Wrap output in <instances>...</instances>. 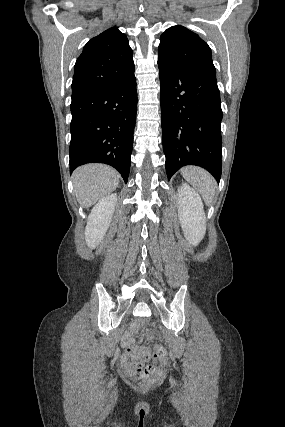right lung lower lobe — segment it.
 I'll return each instance as SVG.
<instances>
[{
	"mask_svg": "<svg viewBox=\"0 0 285 427\" xmlns=\"http://www.w3.org/2000/svg\"><path fill=\"white\" fill-rule=\"evenodd\" d=\"M137 111L136 78L72 97L70 172L87 163L113 166L128 181Z\"/></svg>",
	"mask_w": 285,
	"mask_h": 427,
	"instance_id": "right-lung-lower-lobe-1",
	"label": "right lung lower lobe"
}]
</instances>
